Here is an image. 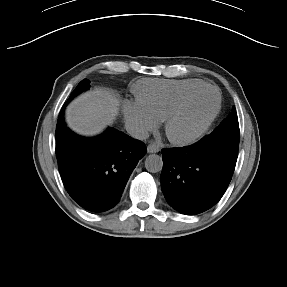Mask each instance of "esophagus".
I'll return each instance as SVG.
<instances>
[{
  "instance_id": "34e87169",
  "label": "esophagus",
  "mask_w": 287,
  "mask_h": 287,
  "mask_svg": "<svg viewBox=\"0 0 287 287\" xmlns=\"http://www.w3.org/2000/svg\"><path fill=\"white\" fill-rule=\"evenodd\" d=\"M147 151H148V153H157L160 151V148L157 144L152 143V144L148 145Z\"/></svg>"
}]
</instances>
